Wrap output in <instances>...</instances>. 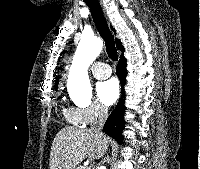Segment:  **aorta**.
<instances>
[{
	"instance_id": "obj_1",
	"label": "aorta",
	"mask_w": 200,
	"mask_h": 169,
	"mask_svg": "<svg viewBox=\"0 0 200 169\" xmlns=\"http://www.w3.org/2000/svg\"><path fill=\"white\" fill-rule=\"evenodd\" d=\"M103 42L94 35L81 36L70 67L67 87L72 99L80 103L89 102L92 88L88 77V68L101 53Z\"/></svg>"
}]
</instances>
